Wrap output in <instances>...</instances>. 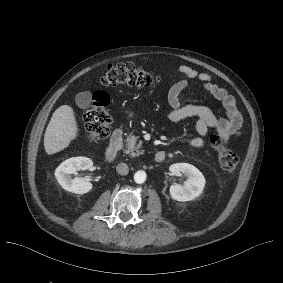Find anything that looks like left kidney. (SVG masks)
Wrapping results in <instances>:
<instances>
[{
    "instance_id": "left-kidney-1",
    "label": "left kidney",
    "mask_w": 283,
    "mask_h": 283,
    "mask_svg": "<svg viewBox=\"0 0 283 283\" xmlns=\"http://www.w3.org/2000/svg\"><path fill=\"white\" fill-rule=\"evenodd\" d=\"M171 175L183 174L187 180L183 185L174 184L170 187V196L180 202L191 201L198 197L205 186L204 175L193 165L188 163H175L169 167Z\"/></svg>"
}]
</instances>
